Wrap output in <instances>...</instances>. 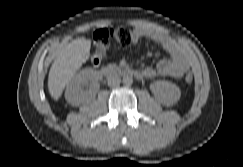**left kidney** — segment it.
I'll use <instances>...</instances> for the list:
<instances>
[{"label":"left kidney","instance_id":"left-kidney-1","mask_svg":"<svg viewBox=\"0 0 243 167\" xmlns=\"http://www.w3.org/2000/svg\"><path fill=\"white\" fill-rule=\"evenodd\" d=\"M150 90L156 100L166 106L175 104L181 96L179 87L168 81H155L150 84Z\"/></svg>","mask_w":243,"mask_h":167}]
</instances>
